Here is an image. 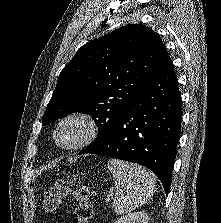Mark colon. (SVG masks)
I'll return each mask as SVG.
<instances>
[{
    "mask_svg": "<svg viewBox=\"0 0 221 223\" xmlns=\"http://www.w3.org/2000/svg\"><path fill=\"white\" fill-rule=\"evenodd\" d=\"M90 189L78 178L58 181L47 190L43 201V210L52 213L59 209L63 199L73 198L76 205L73 210V223H89L93 208L89 203Z\"/></svg>",
    "mask_w": 221,
    "mask_h": 223,
    "instance_id": "1",
    "label": "colon"
}]
</instances>
